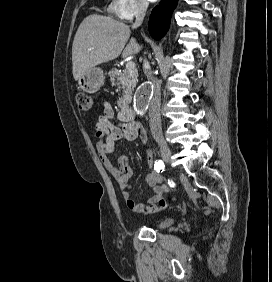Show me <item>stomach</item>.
<instances>
[{"label": "stomach", "instance_id": "1", "mask_svg": "<svg viewBox=\"0 0 272 282\" xmlns=\"http://www.w3.org/2000/svg\"><path fill=\"white\" fill-rule=\"evenodd\" d=\"M104 81L103 70L93 67L78 79V86L87 93H95L104 85Z\"/></svg>", "mask_w": 272, "mask_h": 282}]
</instances>
